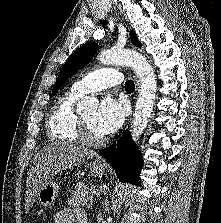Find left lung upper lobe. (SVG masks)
Segmentation results:
<instances>
[{"instance_id":"left-lung-upper-lobe-1","label":"left lung upper lobe","mask_w":221,"mask_h":223,"mask_svg":"<svg viewBox=\"0 0 221 223\" xmlns=\"http://www.w3.org/2000/svg\"><path fill=\"white\" fill-rule=\"evenodd\" d=\"M130 38L135 46H141V43L137 40L135 33L132 31L130 33ZM97 49V43H88L80 47L69 57L63 65L57 81L53 86L52 95H54L73 74L86 66L92 60Z\"/></svg>"}]
</instances>
